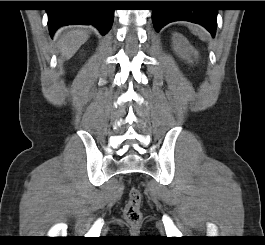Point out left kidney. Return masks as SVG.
<instances>
[{"label":"left kidney","instance_id":"left-kidney-1","mask_svg":"<svg viewBox=\"0 0 265 245\" xmlns=\"http://www.w3.org/2000/svg\"><path fill=\"white\" fill-rule=\"evenodd\" d=\"M172 47L179 57L188 62H192V58H198V52L180 33L172 34Z\"/></svg>","mask_w":265,"mask_h":245}]
</instances>
